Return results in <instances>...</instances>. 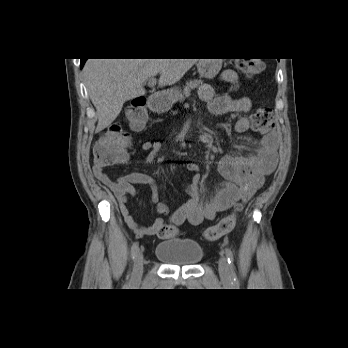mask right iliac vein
I'll return each mask as SVG.
<instances>
[{"label": "right iliac vein", "mask_w": 348, "mask_h": 348, "mask_svg": "<svg viewBox=\"0 0 348 348\" xmlns=\"http://www.w3.org/2000/svg\"><path fill=\"white\" fill-rule=\"evenodd\" d=\"M143 273V253L139 251L135 255L133 272H132V280L134 282H139L141 280Z\"/></svg>", "instance_id": "63e3f726"}]
</instances>
